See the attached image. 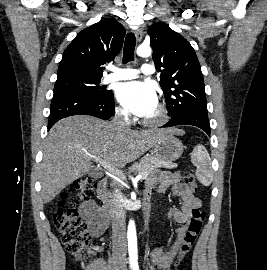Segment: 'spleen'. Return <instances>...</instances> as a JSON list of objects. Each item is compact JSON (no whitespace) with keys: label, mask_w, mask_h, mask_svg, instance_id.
<instances>
[{"label":"spleen","mask_w":267,"mask_h":270,"mask_svg":"<svg viewBox=\"0 0 267 270\" xmlns=\"http://www.w3.org/2000/svg\"><path fill=\"white\" fill-rule=\"evenodd\" d=\"M191 161L196 166V177L204 186H209L213 180V170L211 166V158L206 148L198 144L194 147Z\"/></svg>","instance_id":"1"}]
</instances>
